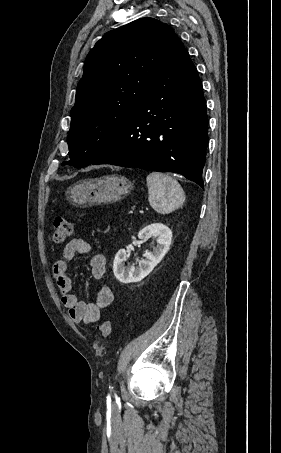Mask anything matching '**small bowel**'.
<instances>
[{"mask_svg": "<svg viewBox=\"0 0 281 453\" xmlns=\"http://www.w3.org/2000/svg\"><path fill=\"white\" fill-rule=\"evenodd\" d=\"M90 245L83 238H73L65 246L63 257L57 259L52 266V273L58 283L62 295V303L67 308L70 319L77 324L96 323L101 318L102 309L113 301V293L107 287L97 291L96 301L91 303L81 302L72 293V280L68 272V261L76 254H86ZM90 275L95 280H102L106 274L105 257L102 254H93L89 260Z\"/></svg>", "mask_w": 281, "mask_h": 453, "instance_id": "small-bowel-1", "label": "small bowel"}]
</instances>
